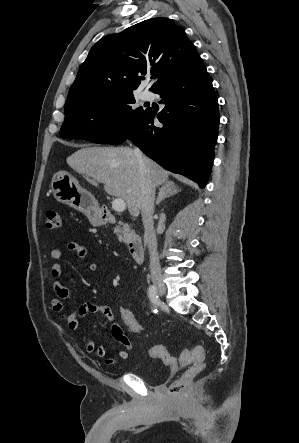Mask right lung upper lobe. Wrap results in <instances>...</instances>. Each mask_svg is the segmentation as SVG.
Instances as JSON below:
<instances>
[{"instance_id":"cb5924a9","label":"right lung upper lobe","mask_w":299,"mask_h":443,"mask_svg":"<svg viewBox=\"0 0 299 443\" xmlns=\"http://www.w3.org/2000/svg\"><path fill=\"white\" fill-rule=\"evenodd\" d=\"M205 65L182 28L152 18L100 39L80 66L66 106L133 93L142 75L154 74L151 91Z\"/></svg>"}]
</instances>
